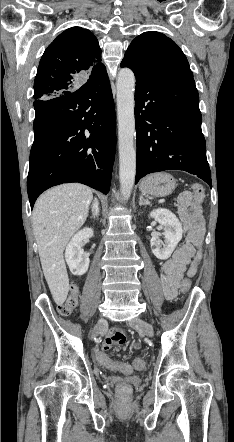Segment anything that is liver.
<instances>
[{
	"label": "liver",
	"mask_w": 234,
	"mask_h": 442,
	"mask_svg": "<svg viewBox=\"0 0 234 442\" xmlns=\"http://www.w3.org/2000/svg\"><path fill=\"white\" fill-rule=\"evenodd\" d=\"M92 198L91 188L69 183L46 191L34 206L33 233L43 273L57 305L65 302L69 291L64 248L85 223Z\"/></svg>",
	"instance_id": "1"
}]
</instances>
